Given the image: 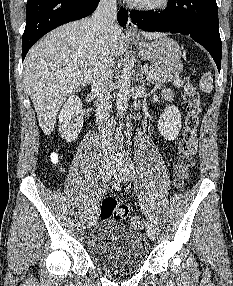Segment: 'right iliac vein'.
Wrapping results in <instances>:
<instances>
[{
	"label": "right iliac vein",
	"instance_id": "obj_1",
	"mask_svg": "<svg viewBox=\"0 0 233 286\" xmlns=\"http://www.w3.org/2000/svg\"><path fill=\"white\" fill-rule=\"evenodd\" d=\"M111 172H112L111 162L109 160H104L100 167V176L102 181L109 179ZM96 220H97V207L91 212L88 226L89 227L93 226Z\"/></svg>",
	"mask_w": 233,
	"mask_h": 286
}]
</instances>
